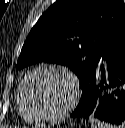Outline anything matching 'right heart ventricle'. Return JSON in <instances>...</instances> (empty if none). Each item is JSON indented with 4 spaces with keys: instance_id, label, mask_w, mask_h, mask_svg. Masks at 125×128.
I'll return each instance as SVG.
<instances>
[{
    "instance_id": "right-heart-ventricle-1",
    "label": "right heart ventricle",
    "mask_w": 125,
    "mask_h": 128,
    "mask_svg": "<svg viewBox=\"0 0 125 128\" xmlns=\"http://www.w3.org/2000/svg\"><path fill=\"white\" fill-rule=\"evenodd\" d=\"M20 87V86H19ZM17 100H18V112L21 115V117L25 120V121H31L23 112L21 105H20V90L18 88V92H17Z\"/></svg>"
}]
</instances>
